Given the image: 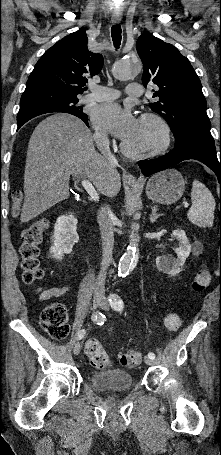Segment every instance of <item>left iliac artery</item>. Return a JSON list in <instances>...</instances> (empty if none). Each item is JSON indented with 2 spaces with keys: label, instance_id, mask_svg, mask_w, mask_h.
I'll use <instances>...</instances> for the list:
<instances>
[{
  "label": "left iliac artery",
  "instance_id": "44dca946",
  "mask_svg": "<svg viewBox=\"0 0 221 455\" xmlns=\"http://www.w3.org/2000/svg\"><path fill=\"white\" fill-rule=\"evenodd\" d=\"M109 303L111 305V307L116 310V311H121L123 310L124 308V303L122 301V299L120 298V296H118L117 294L115 293H112L109 295ZM148 356L151 358V359H155V354L154 353H148Z\"/></svg>",
  "mask_w": 221,
  "mask_h": 455
}]
</instances>
